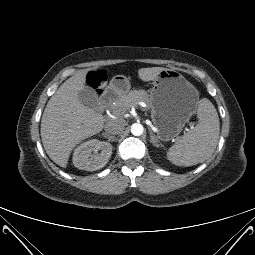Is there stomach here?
Segmentation results:
<instances>
[{
	"label": "stomach",
	"instance_id": "stomach-1",
	"mask_svg": "<svg viewBox=\"0 0 255 255\" xmlns=\"http://www.w3.org/2000/svg\"><path fill=\"white\" fill-rule=\"evenodd\" d=\"M129 89V80L123 75L114 76L105 87V91H112L120 97ZM148 97L151 118L158 127L157 136L161 141H169L180 134L195 113L199 92L178 71L165 69L153 80Z\"/></svg>",
	"mask_w": 255,
	"mask_h": 255
}]
</instances>
